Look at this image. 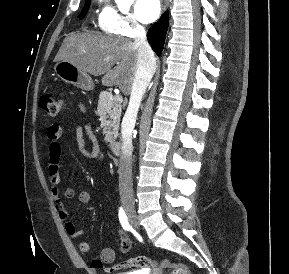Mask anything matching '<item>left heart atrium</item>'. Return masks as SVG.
I'll return each mask as SVG.
<instances>
[{
  "instance_id": "obj_1",
  "label": "left heart atrium",
  "mask_w": 289,
  "mask_h": 274,
  "mask_svg": "<svg viewBox=\"0 0 289 274\" xmlns=\"http://www.w3.org/2000/svg\"><path fill=\"white\" fill-rule=\"evenodd\" d=\"M160 11V0H137L135 3L136 16L143 23L155 21L158 18Z\"/></svg>"
}]
</instances>
